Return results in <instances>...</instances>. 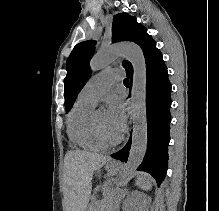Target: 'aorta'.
I'll use <instances>...</instances> for the list:
<instances>
[{"label":"aorta","instance_id":"aorta-1","mask_svg":"<svg viewBox=\"0 0 219 211\" xmlns=\"http://www.w3.org/2000/svg\"><path fill=\"white\" fill-rule=\"evenodd\" d=\"M125 57L133 66L131 90V117L133 120L132 143L127 163L120 173L119 184H125L142 163L148 145L146 109V62L141 48L134 43L113 45L97 52L90 62L91 69L98 71L116 57Z\"/></svg>","mask_w":219,"mask_h":211}]
</instances>
